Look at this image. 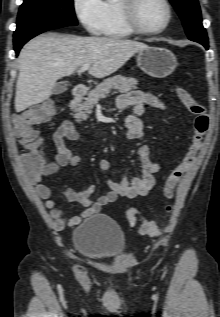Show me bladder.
<instances>
[{
	"instance_id": "bladder-1",
	"label": "bladder",
	"mask_w": 220,
	"mask_h": 317,
	"mask_svg": "<svg viewBox=\"0 0 220 317\" xmlns=\"http://www.w3.org/2000/svg\"><path fill=\"white\" fill-rule=\"evenodd\" d=\"M72 239L85 257L107 261L123 255L127 249L126 236L119 225L103 214H94L75 227Z\"/></svg>"
}]
</instances>
